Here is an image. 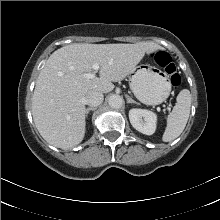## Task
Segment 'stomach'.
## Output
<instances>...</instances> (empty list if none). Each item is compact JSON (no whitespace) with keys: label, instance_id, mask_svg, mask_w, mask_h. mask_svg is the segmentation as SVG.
Segmentation results:
<instances>
[{"label":"stomach","instance_id":"obj_1","mask_svg":"<svg viewBox=\"0 0 220 220\" xmlns=\"http://www.w3.org/2000/svg\"><path fill=\"white\" fill-rule=\"evenodd\" d=\"M130 88L142 103L157 105L170 95L169 76L154 66H138L130 76Z\"/></svg>","mask_w":220,"mask_h":220}]
</instances>
